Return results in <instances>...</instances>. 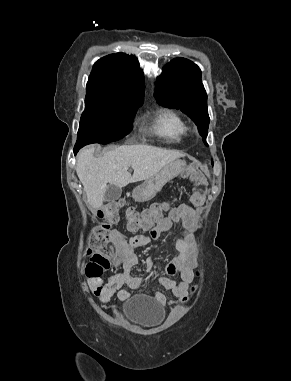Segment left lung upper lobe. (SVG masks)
<instances>
[{
  "mask_svg": "<svg viewBox=\"0 0 291 381\" xmlns=\"http://www.w3.org/2000/svg\"><path fill=\"white\" fill-rule=\"evenodd\" d=\"M155 98L163 105L181 109L198 126L206 146L210 118L207 95L199 67L185 58L173 59L157 78Z\"/></svg>",
  "mask_w": 291,
  "mask_h": 381,
  "instance_id": "5c2ea615",
  "label": "left lung upper lobe"
}]
</instances>
